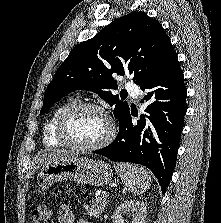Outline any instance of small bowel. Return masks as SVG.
Here are the masks:
<instances>
[{"label":"small bowel","mask_w":221,"mask_h":223,"mask_svg":"<svg viewBox=\"0 0 221 223\" xmlns=\"http://www.w3.org/2000/svg\"><path fill=\"white\" fill-rule=\"evenodd\" d=\"M58 223H88L83 219L76 220L71 208L63 204L58 210Z\"/></svg>","instance_id":"small-bowel-1"}]
</instances>
